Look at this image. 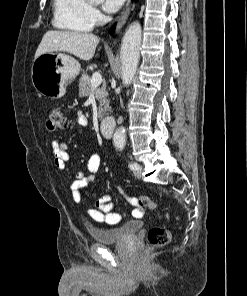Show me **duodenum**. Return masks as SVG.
I'll use <instances>...</instances> for the list:
<instances>
[{
  "label": "duodenum",
  "instance_id": "410a0bca",
  "mask_svg": "<svg viewBox=\"0 0 247 296\" xmlns=\"http://www.w3.org/2000/svg\"><path fill=\"white\" fill-rule=\"evenodd\" d=\"M115 121L112 117H105L100 120V130L104 137L110 138L113 135Z\"/></svg>",
  "mask_w": 247,
  "mask_h": 296
}]
</instances>
